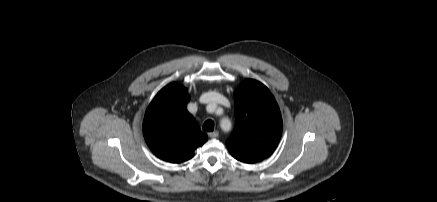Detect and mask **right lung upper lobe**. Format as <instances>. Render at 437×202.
<instances>
[{"mask_svg": "<svg viewBox=\"0 0 437 202\" xmlns=\"http://www.w3.org/2000/svg\"><path fill=\"white\" fill-rule=\"evenodd\" d=\"M189 94L172 83L161 89L146 110L143 134L152 152L160 159L182 163L207 141V135L187 111Z\"/></svg>", "mask_w": 437, "mask_h": 202, "instance_id": "obj_1", "label": "right lung upper lobe"}]
</instances>
